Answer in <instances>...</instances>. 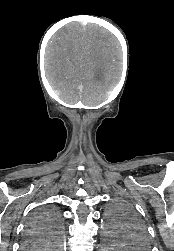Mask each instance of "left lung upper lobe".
Returning a JSON list of instances; mask_svg holds the SVG:
<instances>
[{"label": "left lung upper lobe", "mask_w": 174, "mask_h": 251, "mask_svg": "<svg viewBox=\"0 0 174 251\" xmlns=\"http://www.w3.org/2000/svg\"><path fill=\"white\" fill-rule=\"evenodd\" d=\"M109 228L120 239L127 241L137 250L147 251L149 239L145 226L135 215L130 205L123 201L114 202L107 211Z\"/></svg>", "instance_id": "5c2ea615"}]
</instances>
